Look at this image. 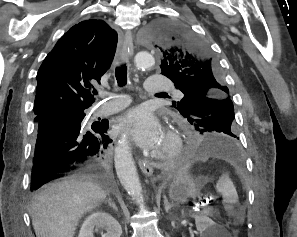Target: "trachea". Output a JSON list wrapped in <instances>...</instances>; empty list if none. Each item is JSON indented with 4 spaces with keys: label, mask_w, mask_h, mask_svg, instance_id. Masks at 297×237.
<instances>
[{
    "label": "trachea",
    "mask_w": 297,
    "mask_h": 237,
    "mask_svg": "<svg viewBox=\"0 0 297 237\" xmlns=\"http://www.w3.org/2000/svg\"><path fill=\"white\" fill-rule=\"evenodd\" d=\"M115 76L118 86L122 87L127 84V67L125 64L116 67ZM93 94H97V91H93Z\"/></svg>",
    "instance_id": "3493384b"
}]
</instances>
